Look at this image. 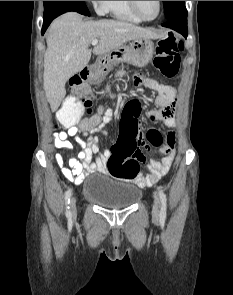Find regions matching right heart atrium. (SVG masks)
Masks as SVG:
<instances>
[{
    "mask_svg": "<svg viewBox=\"0 0 233 295\" xmlns=\"http://www.w3.org/2000/svg\"><path fill=\"white\" fill-rule=\"evenodd\" d=\"M95 9V11L103 15L107 12L108 9V1H90Z\"/></svg>",
    "mask_w": 233,
    "mask_h": 295,
    "instance_id": "obj_1",
    "label": "right heart atrium"
}]
</instances>
